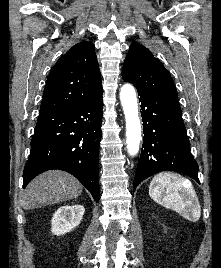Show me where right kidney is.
<instances>
[{
  "mask_svg": "<svg viewBox=\"0 0 221 268\" xmlns=\"http://www.w3.org/2000/svg\"><path fill=\"white\" fill-rule=\"evenodd\" d=\"M82 205L62 206L53 215L51 231L55 235H63L77 227L84 215Z\"/></svg>",
  "mask_w": 221,
  "mask_h": 268,
  "instance_id": "right-kidney-1",
  "label": "right kidney"
}]
</instances>
